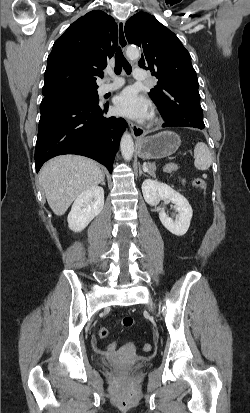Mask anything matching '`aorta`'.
Instances as JSON below:
<instances>
[{
	"instance_id": "762f6f07",
	"label": "aorta",
	"mask_w": 250,
	"mask_h": 413,
	"mask_svg": "<svg viewBox=\"0 0 250 413\" xmlns=\"http://www.w3.org/2000/svg\"><path fill=\"white\" fill-rule=\"evenodd\" d=\"M126 55L130 59H138L140 56V51L135 47H128L126 50ZM120 149L123 158L126 161H130L134 153V143L131 135L128 132H125L121 138Z\"/></svg>"
}]
</instances>
